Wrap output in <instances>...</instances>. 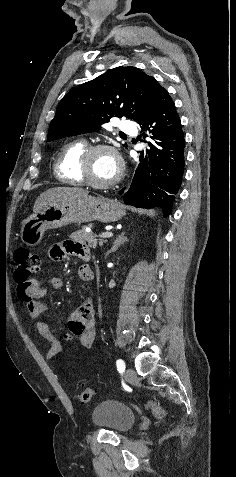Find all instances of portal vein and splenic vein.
<instances>
[{
	"label": "portal vein and splenic vein",
	"mask_w": 236,
	"mask_h": 477,
	"mask_svg": "<svg viewBox=\"0 0 236 477\" xmlns=\"http://www.w3.org/2000/svg\"><path fill=\"white\" fill-rule=\"evenodd\" d=\"M113 236L112 232H105L99 235L101 238H111Z\"/></svg>",
	"instance_id": "1"
}]
</instances>
